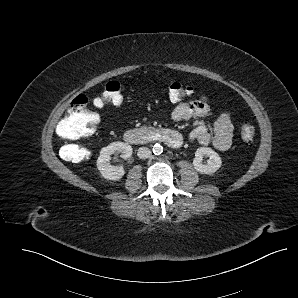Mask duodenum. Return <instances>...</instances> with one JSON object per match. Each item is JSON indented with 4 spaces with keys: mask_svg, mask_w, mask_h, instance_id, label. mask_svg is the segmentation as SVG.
Segmentation results:
<instances>
[{
    "mask_svg": "<svg viewBox=\"0 0 298 298\" xmlns=\"http://www.w3.org/2000/svg\"><path fill=\"white\" fill-rule=\"evenodd\" d=\"M123 139L131 145L162 142L169 147L179 148L182 144L181 135L170 129H128L124 132Z\"/></svg>",
    "mask_w": 298,
    "mask_h": 298,
    "instance_id": "duodenum-1",
    "label": "duodenum"
}]
</instances>
